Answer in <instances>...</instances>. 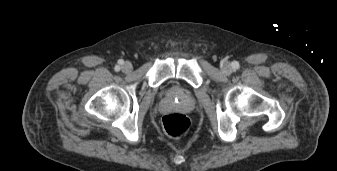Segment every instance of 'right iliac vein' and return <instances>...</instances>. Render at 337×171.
Segmentation results:
<instances>
[{
  "label": "right iliac vein",
  "instance_id": "obj_1",
  "mask_svg": "<svg viewBox=\"0 0 337 171\" xmlns=\"http://www.w3.org/2000/svg\"><path fill=\"white\" fill-rule=\"evenodd\" d=\"M131 70H132V65H131V63L125 62V63L122 65V71H123V72L129 73V72H131Z\"/></svg>",
  "mask_w": 337,
  "mask_h": 171
}]
</instances>
